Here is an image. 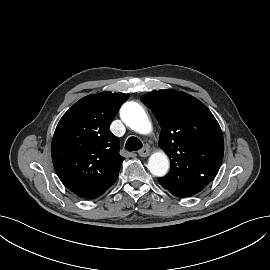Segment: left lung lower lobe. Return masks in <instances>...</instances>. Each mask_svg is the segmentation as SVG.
I'll list each match as a JSON object with an SVG mask.
<instances>
[{
	"label": "left lung lower lobe",
	"mask_w": 270,
	"mask_h": 270,
	"mask_svg": "<svg viewBox=\"0 0 270 270\" xmlns=\"http://www.w3.org/2000/svg\"><path fill=\"white\" fill-rule=\"evenodd\" d=\"M202 189L203 188L187 189V190H173V189H167V190L177 197H189L200 192Z\"/></svg>",
	"instance_id": "1"
}]
</instances>
